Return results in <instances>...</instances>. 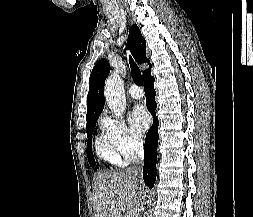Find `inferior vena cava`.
<instances>
[{"mask_svg":"<svg viewBox=\"0 0 253 217\" xmlns=\"http://www.w3.org/2000/svg\"><path fill=\"white\" fill-rule=\"evenodd\" d=\"M143 161H144L143 142L141 139H138L134 146V160H133L134 165L131 167H128L126 169V172L130 174L133 179H135L134 183L137 185V187L140 190L137 193L139 199H146L147 198L146 194H148L149 192L148 189H146V187H144V185L142 184L143 180L141 179ZM142 209H143V206H142Z\"/></svg>","mask_w":253,"mask_h":217,"instance_id":"inferior-vena-cava-1","label":"inferior vena cava"}]
</instances>
